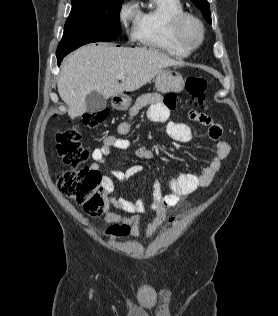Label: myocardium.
I'll list each match as a JSON object with an SVG mask.
<instances>
[{
  "label": "myocardium",
  "mask_w": 278,
  "mask_h": 316,
  "mask_svg": "<svg viewBox=\"0 0 278 316\" xmlns=\"http://www.w3.org/2000/svg\"><path fill=\"white\" fill-rule=\"evenodd\" d=\"M174 27L180 41L190 49L199 47L204 41V25L199 18L191 13L184 12L177 16Z\"/></svg>",
  "instance_id": "f54148a6"
}]
</instances>
